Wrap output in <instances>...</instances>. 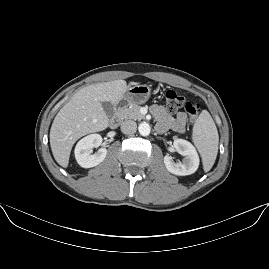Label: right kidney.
Instances as JSON below:
<instances>
[{
  "mask_svg": "<svg viewBox=\"0 0 269 269\" xmlns=\"http://www.w3.org/2000/svg\"><path fill=\"white\" fill-rule=\"evenodd\" d=\"M102 137L99 134H90L82 138L75 147V158L83 168H91L100 164L107 155L106 148H100L95 154H91L92 149L99 147Z\"/></svg>",
  "mask_w": 269,
  "mask_h": 269,
  "instance_id": "ca27d5eb",
  "label": "right kidney"
}]
</instances>
